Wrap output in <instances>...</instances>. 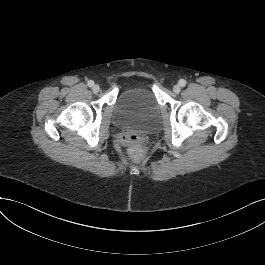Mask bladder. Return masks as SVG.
<instances>
[{
	"mask_svg": "<svg viewBox=\"0 0 265 265\" xmlns=\"http://www.w3.org/2000/svg\"><path fill=\"white\" fill-rule=\"evenodd\" d=\"M116 117L123 127L145 129L156 126L159 113L155 95L147 88L135 87L121 93L116 102Z\"/></svg>",
	"mask_w": 265,
	"mask_h": 265,
	"instance_id": "1",
	"label": "bladder"
}]
</instances>
